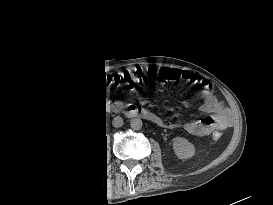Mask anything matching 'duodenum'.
Wrapping results in <instances>:
<instances>
[{"label":"duodenum","mask_w":273,"mask_h":205,"mask_svg":"<svg viewBox=\"0 0 273 205\" xmlns=\"http://www.w3.org/2000/svg\"><path fill=\"white\" fill-rule=\"evenodd\" d=\"M111 110L114 112H120L124 116L129 118L141 117V118H146L152 121L158 120V117L156 114L152 113L151 111L147 109L139 108L136 106H125V107L112 106Z\"/></svg>","instance_id":"obj_1"}]
</instances>
